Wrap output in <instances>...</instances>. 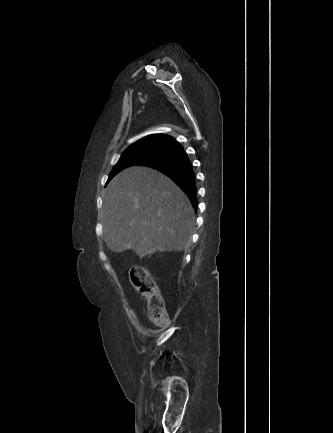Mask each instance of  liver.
Here are the masks:
<instances>
[{
    "instance_id": "liver-1",
    "label": "liver",
    "mask_w": 333,
    "mask_h": 433,
    "mask_svg": "<svg viewBox=\"0 0 333 433\" xmlns=\"http://www.w3.org/2000/svg\"><path fill=\"white\" fill-rule=\"evenodd\" d=\"M194 210L186 194L166 175L133 166L109 183L101 222L108 248L133 250L140 258L182 251L193 228Z\"/></svg>"
}]
</instances>
